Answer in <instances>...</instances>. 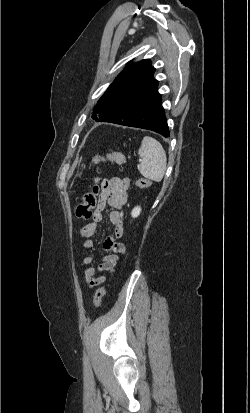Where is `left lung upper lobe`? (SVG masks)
<instances>
[{
    "label": "left lung upper lobe",
    "mask_w": 250,
    "mask_h": 413,
    "mask_svg": "<svg viewBox=\"0 0 250 413\" xmlns=\"http://www.w3.org/2000/svg\"><path fill=\"white\" fill-rule=\"evenodd\" d=\"M154 72L155 68L149 59L141 60L127 67L98 100L92 118L98 121L109 114L113 115V113L118 112L122 101L131 95L138 85L156 81L153 77Z\"/></svg>",
    "instance_id": "obj_1"
}]
</instances>
